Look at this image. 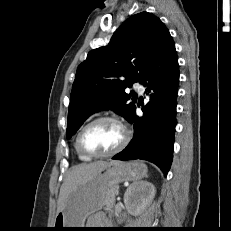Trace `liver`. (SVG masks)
Returning a JSON list of instances; mask_svg holds the SVG:
<instances>
[{"mask_svg": "<svg viewBox=\"0 0 231 231\" xmlns=\"http://www.w3.org/2000/svg\"><path fill=\"white\" fill-rule=\"evenodd\" d=\"M107 165V162L96 161L88 164L83 163L74 166L67 173L64 182L60 188L59 198L57 202V214L63 210L68 197L74 190L77 189L79 185L85 183L99 170L105 168Z\"/></svg>", "mask_w": 231, "mask_h": 231, "instance_id": "6515ba94", "label": "liver"}]
</instances>
